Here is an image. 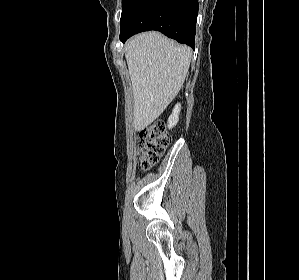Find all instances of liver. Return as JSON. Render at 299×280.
<instances>
[{
	"instance_id": "liver-1",
	"label": "liver",
	"mask_w": 299,
	"mask_h": 280,
	"mask_svg": "<svg viewBox=\"0 0 299 280\" xmlns=\"http://www.w3.org/2000/svg\"><path fill=\"white\" fill-rule=\"evenodd\" d=\"M192 50L161 33H141L127 41L125 58L133 90L134 129L155 121L180 91Z\"/></svg>"
}]
</instances>
